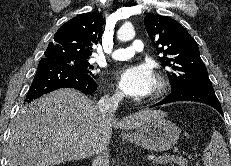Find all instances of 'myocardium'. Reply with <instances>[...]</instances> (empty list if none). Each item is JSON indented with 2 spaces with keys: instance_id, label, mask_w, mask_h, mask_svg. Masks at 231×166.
<instances>
[{
  "instance_id": "1",
  "label": "myocardium",
  "mask_w": 231,
  "mask_h": 166,
  "mask_svg": "<svg viewBox=\"0 0 231 166\" xmlns=\"http://www.w3.org/2000/svg\"><path fill=\"white\" fill-rule=\"evenodd\" d=\"M168 88L167 80L161 74H158L155 79V85L153 92L150 96V100H156L162 97Z\"/></svg>"
}]
</instances>
